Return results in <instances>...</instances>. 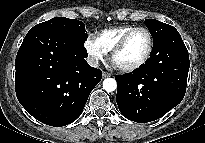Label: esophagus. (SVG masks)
Wrapping results in <instances>:
<instances>
[{
  "label": "esophagus",
  "instance_id": "esophagus-1",
  "mask_svg": "<svg viewBox=\"0 0 205 143\" xmlns=\"http://www.w3.org/2000/svg\"><path fill=\"white\" fill-rule=\"evenodd\" d=\"M110 76H111L110 73L105 72V71L102 72V77H103V78H107V77H110Z\"/></svg>",
  "mask_w": 205,
  "mask_h": 143
}]
</instances>
